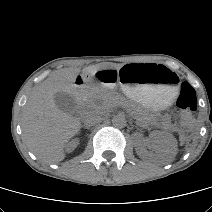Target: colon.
Segmentation results:
<instances>
[{"instance_id":"colon-1","label":"colon","mask_w":212,"mask_h":212,"mask_svg":"<svg viewBox=\"0 0 212 212\" xmlns=\"http://www.w3.org/2000/svg\"><path fill=\"white\" fill-rule=\"evenodd\" d=\"M177 106L182 112V120L186 126L194 123L193 112L197 109V95L195 89L187 82L181 84Z\"/></svg>"}]
</instances>
